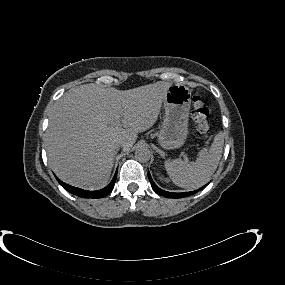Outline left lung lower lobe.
I'll list each match as a JSON object with an SVG mask.
<instances>
[{
    "instance_id": "1",
    "label": "left lung lower lobe",
    "mask_w": 285,
    "mask_h": 285,
    "mask_svg": "<svg viewBox=\"0 0 285 285\" xmlns=\"http://www.w3.org/2000/svg\"><path fill=\"white\" fill-rule=\"evenodd\" d=\"M148 178L151 182V186L153 188V190L161 195V196H164V197H168V198H183V197H187V196H190L192 194H195L196 192H198L200 189L198 190H195V191H191V192H185V193H173V192H167V191H164L162 189H160L152 180L151 176H150V173H148Z\"/></svg>"
}]
</instances>
